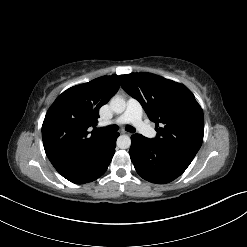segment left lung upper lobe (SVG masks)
<instances>
[{"label":"left lung upper lobe","mask_w":247,"mask_h":247,"mask_svg":"<svg viewBox=\"0 0 247 247\" xmlns=\"http://www.w3.org/2000/svg\"><path fill=\"white\" fill-rule=\"evenodd\" d=\"M122 88L137 99L155 122L153 141L163 149L193 160L204 135V116L193 94L182 84L151 73L120 76Z\"/></svg>","instance_id":"obj_1"}]
</instances>
